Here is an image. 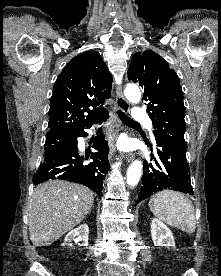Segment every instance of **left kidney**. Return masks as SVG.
<instances>
[{
    "instance_id": "1",
    "label": "left kidney",
    "mask_w": 221,
    "mask_h": 276,
    "mask_svg": "<svg viewBox=\"0 0 221 276\" xmlns=\"http://www.w3.org/2000/svg\"><path fill=\"white\" fill-rule=\"evenodd\" d=\"M151 236L155 246H175V241L170 229L159 219H152Z\"/></svg>"
}]
</instances>
